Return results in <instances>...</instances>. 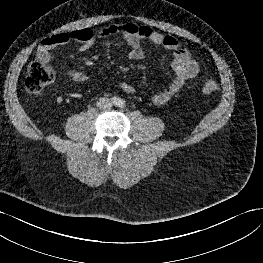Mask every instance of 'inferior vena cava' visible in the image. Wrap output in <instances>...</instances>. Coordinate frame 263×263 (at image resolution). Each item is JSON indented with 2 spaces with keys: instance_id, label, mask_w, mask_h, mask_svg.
I'll return each instance as SVG.
<instances>
[{
  "instance_id": "obj_1",
  "label": "inferior vena cava",
  "mask_w": 263,
  "mask_h": 263,
  "mask_svg": "<svg viewBox=\"0 0 263 263\" xmlns=\"http://www.w3.org/2000/svg\"><path fill=\"white\" fill-rule=\"evenodd\" d=\"M96 105L99 109H102V110L109 109L112 107V103L110 99L108 98H99Z\"/></svg>"
}]
</instances>
